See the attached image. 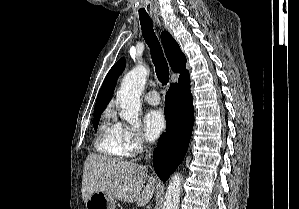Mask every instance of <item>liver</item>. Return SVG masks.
Wrapping results in <instances>:
<instances>
[{
    "label": "liver",
    "mask_w": 299,
    "mask_h": 209,
    "mask_svg": "<svg viewBox=\"0 0 299 209\" xmlns=\"http://www.w3.org/2000/svg\"><path fill=\"white\" fill-rule=\"evenodd\" d=\"M155 185V178L148 176L142 165L89 154L84 164L82 198L86 202L101 191L123 202L144 206L151 200Z\"/></svg>",
    "instance_id": "1"
}]
</instances>
